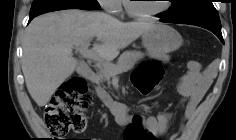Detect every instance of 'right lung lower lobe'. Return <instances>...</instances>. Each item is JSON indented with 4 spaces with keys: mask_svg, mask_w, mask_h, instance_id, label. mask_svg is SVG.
<instances>
[{
    "mask_svg": "<svg viewBox=\"0 0 236 140\" xmlns=\"http://www.w3.org/2000/svg\"><path fill=\"white\" fill-rule=\"evenodd\" d=\"M37 15H34V16H29V22L34 18L36 17Z\"/></svg>",
    "mask_w": 236,
    "mask_h": 140,
    "instance_id": "1",
    "label": "right lung lower lobe"
}]
</instances>
